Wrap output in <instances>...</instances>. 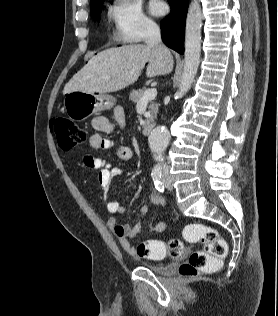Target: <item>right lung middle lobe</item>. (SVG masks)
Masks as SVG:
<instances>
[{
	"label": "right lung middle lobe",
	"mask_w": 278,
	"mask_h": 316,
	"mask_svg": "<svg viewBox=\"0 0 278 316\" xmlns=\"http://www.w3.org/2000/svg\"><path fill=\"white\" fill-rule=\"evenodd\" d=\"M102 5H103V1L91 8V16L93 17L95 21L96 20L99 21L100 19V12H101Z\"/></svg>",
	"instance_id": "1"
}]
</instances>
